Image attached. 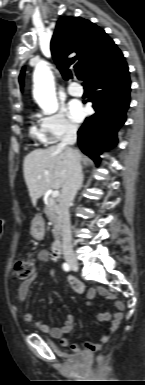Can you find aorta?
Instances as JSON below:
<instances>
[{
    "mask_svg": "<svg viewBox=\"0 0 145 385\" xmlns=\"http://www.w3.org/2000/svg\"><path fill=\"white\" fill-rule=\"evenodd\" d=\"M33 83L34 99L44 113L57 112L59 105L56 98L54 77L46 61H41L36 65Z\"/></svg>",
    "mask_w": 145,
    "mask_h": 385,
    "instance_id": "aorta-1",
    "label": "aorta"
}]
</instances>
